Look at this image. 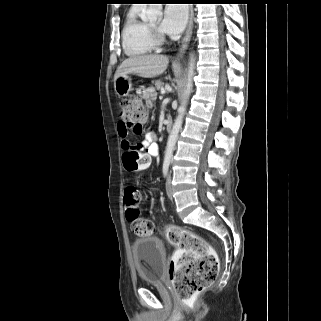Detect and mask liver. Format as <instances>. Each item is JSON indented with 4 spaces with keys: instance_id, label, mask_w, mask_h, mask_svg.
I'll use <instances>...</instances> for the list:
<instances>
[{
    "instance_id": "6515ba94",
    "label": "liver",
    "mask_w": 321,
    "mask_h": 321,
    "mask_svg": "<svg viewBox=\"0 0 321 321\" xmlns=\"http://www.w3.org/2000/svg\"><path fill=\"white\" fill-rule=\"evenodd\" d=\"M169 59L165 55H138L125 59L115 73V79L128 74H137L144 78H154L164 73ZM176 73L180 66L174 64Z\"/></svg>"
}]
</instances>
